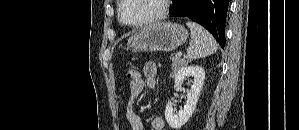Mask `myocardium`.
Listing matches in <instances>:
<instances>
[{"mask_svg":"<svg viewBox=\"0 0 299 130\" xmlns=\"http://www.w3.org/2000/svg\"><path fill=\"white\" fill-rule=\"evenodd\" d=\"M128 1L129 0H121L119 2V5H118V20L121 24H123L125 26H128V27H132V28L142 27V26H146V25H149V24L160 21L161 19H163L167 15V13L169 11V8H170V4L172 2L170 0H160L161 1V8H160L159 12H157L155 15H153V16L147 18V19L135 22V23H127L122 18V10H123L124 5Z\"/></svg>","mask_w":299,"mask_h":130,"instance_id":"myocardium-1","label":"myocardium"}]
</instances>
